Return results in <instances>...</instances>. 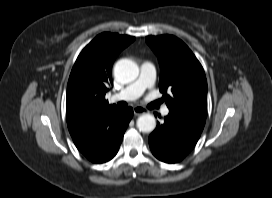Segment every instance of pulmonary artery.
Segmentation results:
<instances>
[{
  "label": "pulmonary artery",
  "instance_id": "e3ab8cb5",
  "mask_svg": "<svg viewBox=\"0 0 272 198\" xmlns=\"http://www.w3.org/2000/svg\"><path fill=\"white\" fill-rule=\"evenodd\" d=\"M155 75V66L150 62H144L141 65V75L139 79L122 89L120 92L113 94L111 99L113 101H133L138 99L145 90L153 87ZM161 112L166 116L169 113V109L164 107Z\"/></svg>",
  "mask_w": 272,
  "mask_h": 198
}]
</instances>
